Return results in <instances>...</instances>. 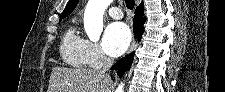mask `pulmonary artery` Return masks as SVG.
Masks as SVG:
<instances>
[{"instance_id":"pulmonary-artery-1","label":"pulmonary artery","mask_w":225,"mask_h":92,"mask_svg":"<svg viewBox=\"0 0 225 92\" xmlns=\"http://www.w3.org/2000/svg\"><path fill=\"white\" fill-rule=\"evenodd\" d=\"M108 15L114 19H121L122 16H123V13L121 11L120 8L118 7H111L109 10H108Z\"/></svg>"}]
</instances>
